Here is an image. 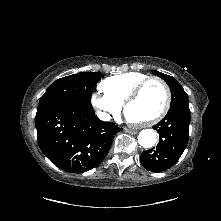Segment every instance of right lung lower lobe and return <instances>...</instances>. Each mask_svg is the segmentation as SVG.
Instances as JSON below:
<instances>
[{
  "mask_svg": "<svg viewBox=\"0 0 221 221\" xmlns=\"http://www.w3.org/2000/svg\"><path fill=\"white\" fill-rule=\"evenodd\" d=\"M38 144L57 167L83 173L98 166L107 155L113 135L122 128L101 121L91 106L65 102L35 117Z\"/></svg>",
  "mask_w": 221,
  "mask_h": 221,
  "instance_id": "98d812e1",
  "label": "right lung lower lobe"
}]
</instances>
